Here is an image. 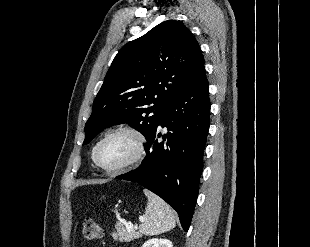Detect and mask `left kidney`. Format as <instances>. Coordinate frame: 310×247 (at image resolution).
<instances>
[{
  "mask_svg": "<svg viewBox=\"0 0 310 247\" xmlns=\"http://www.w3.org/2000/svg\"><path fill=\"white\" fill-rule=\"evenodd\" d=\"M142 247H173V245L170 240L153 238L146 241Z\"/></svg>",
  "mask_w": 310,
  "mask_h": 247,
  "instance_id": "left-kidney-1",
  "label": "left kidney"
}]
</instances>
